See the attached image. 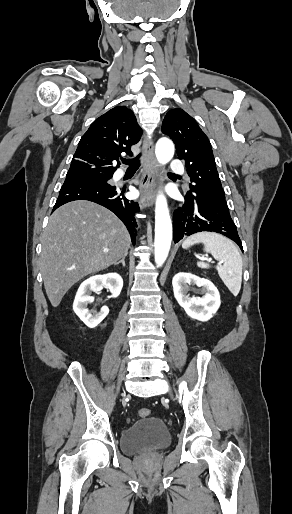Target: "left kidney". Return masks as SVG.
<instances>
[{"label":"left kidney","mask_w":292,"mask_h":514,"mask_svg":"<svg viewBox=\"0 0 292 514\" xmlns=\"http://www.w3.org/2000/svg\"><path fill=\"white\" fill-rule=\"evenodd\" d=\"M192 284L201 286V292L204 294L203 298H189L187 292H189ZM172 286L179 306H182L186 314L190 318H194V320L207 322V320L213 318V314H216L218 308H220L219 292L210 280L198 278V276H193V274L179 272V274L174 276Z\"/></svg>","instance_id":"obj_1"}]
</instances>
